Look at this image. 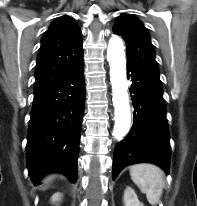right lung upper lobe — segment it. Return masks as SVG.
Here are the masks:
<instances>
[{
  "label": "right lung upper lobe",
  "instance_id": "1",
  "mask_svg": "<svg viewBox=\"0 0 197 206\" xmlns=\"http://www.w3.org/2000/svg\"><path fill=\"white\" fill-rule=\"evenodd\" d=\"M83 61L81 30L70 16L57 18L45 32L37 56L34 94L74 71Z\"/></svg>",
  "mask_w": 197,
  "mask_h": 206
}]
</instances>
